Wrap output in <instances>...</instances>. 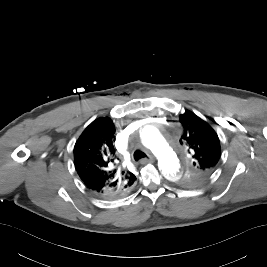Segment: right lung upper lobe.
<instances>
[{
  "label": "right lung upper lobe",
  "instance_id": "obj_1",
  "mask_svg": "<svg viewBox=\"0 0 267 267\" xmlns=\"http://www.w3.org/2000/svg\"><path fill=\"white\" fill-rule=\"evenodd\" d=\"M115 127L110 118L93 121L81 134L74 147L77 173L85 186L98 196H125L136 177L121 171L116 160L112 138Z\"/></svg>",
  "mask_w": 267,
  "mask_h": 267
}]
</instances>
